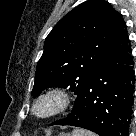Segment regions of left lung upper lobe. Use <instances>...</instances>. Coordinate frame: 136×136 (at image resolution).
<instances>
[{
    "instance_id": "left-lung-upper-lobe-1",
    "label": "left lung upper lobe",
    "mask_w": 136,
    "mask_h": 136,
    "mask_svg": "<svg viewBox=\"0 0 136 136\" xmlns=\"http://www.w3.org/2000/svg\"><path fill=\"white\" fill-rule=\"evenodd\" d=\"M122 24L121 14L104 0H88L71 10L45 40L31 94L69 87L77 95L100 66Z\"/></svg>"
}]
</instances>
